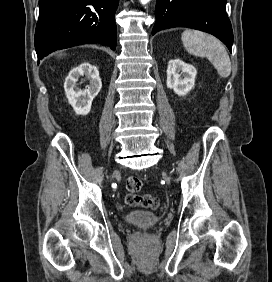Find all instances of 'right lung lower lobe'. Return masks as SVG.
<instances>
[{"mask_svg":"<svg viewBox=\"0 0 272 282\" xmlns=\"http://www.w3.org/2000/svg\"><path fill=\"white\" fill-rule=\"evenodd\" d=\"M119 0H39L35 31L38 63L49 53L85 43L115 50Z\"/></svg>","mask_w":272,"mask_h":282,"instance_id":"1","label":"right lung lower lobe"}]
</instances>
